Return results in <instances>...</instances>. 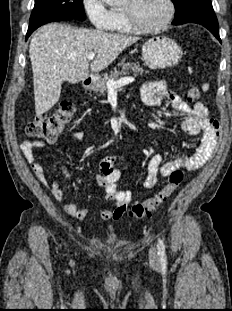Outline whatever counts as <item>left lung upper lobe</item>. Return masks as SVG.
<instances>
[{
    "label": "left lung upper lobe",
    "instance_id": "left-lung-upper-lobe-1",
    "mask_svg": "<svg viewBox=\"0 0 232 311\" xmlns=\"http://www.w3.org/2000/svg\"><path fill=\"white\" fill-rule=\"evenodd\" d=\"M195 1L196 0H172V2L174 3V6L176 8V13L187 8L191 3L195 2Z\"/></svg>",
    "mask_w": 232,
    "mask_h": 311
}]
</instances>
